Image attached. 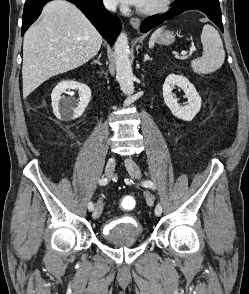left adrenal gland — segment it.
Masks as SVG:
<instances>
[{
    "label": "left adrenal gland",
    "instance_id": "a2214340",
    "mask_svg": "<svg viewBox=\"0 0 249 294\" xmlns=\"http://www.w3.org/2000/svg\"><path fill=\"white\" fill-rule=\"evenodd\" d=\"M147 60H151V58L149 57L148 54H145V56H144V62H146Z\"/></svg>",
    "mask_w": 249,
    "mask_h": 294
}]
</instances>
